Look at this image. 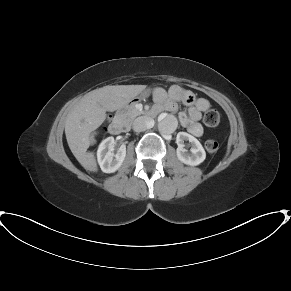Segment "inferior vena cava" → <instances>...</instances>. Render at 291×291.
Segmentation results:
<instances>
[{"label":"inferior vena cava","instance_id":"obj_1","mask_svg":"<svg viewBox=\"0 0 291 291\" xmlns=\"http://www.w3.org/2000/svg\"><path fill=\"white\" fill-rule=\"evenodd\" d=\"M153 126V120L147 116H141L134 120L133 122V130L135 132H142L146 129H149Z\"/></svg>","mask_w":291,"mask_h":291}]
</instances>
